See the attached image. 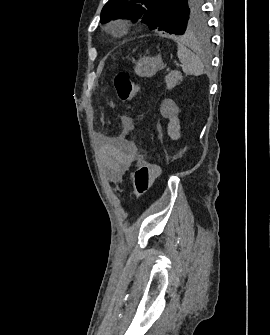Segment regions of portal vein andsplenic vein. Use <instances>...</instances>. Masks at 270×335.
I'll use <instances>...</instances> for the list:
<instances>
[{"instance_id": "obj_1", "label": "portal vein and splenic vein", "mask_w": 270, "mask_h": 335, "mask_svg": "<svg viewBox=\"0 0 270 335\" xmlns=\"http://www.w3.org/2000/svg\"><path fill=\"white\" fill-rule=\"evenodd\" d=\"M175 66H177L179 69L182 67V63H175Z\"/></svg>"}]
</instances>
